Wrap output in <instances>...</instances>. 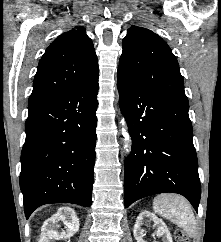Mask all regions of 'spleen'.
Masks as SVG:
<instances>
[{
	"label": "spleen",
	"mask_w": 221,
	"mask_h": 242,
	"mask_svg": "<svg viewBox=\"0 0 221 242\" xmlns=\"http://www.w3.org/2000/svg\"><path fill=\"white\" fill-rule=\"evenodd\" d=\"M153 211L181 228L188 237H194L196 221L190 203L176 194H160L153 200Z\"/></svg>",
	"instance_id": "3e777b00"
}]
</instances>
